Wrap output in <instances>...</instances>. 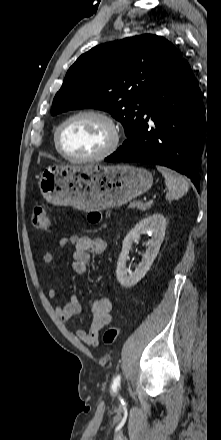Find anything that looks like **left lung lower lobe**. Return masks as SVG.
<instances>
[{
    "label": "left lung lower lobe",
    "instance_id": "1",
    "mask_svg": "<svg viewBox=\"0 0 221 440\" xmlns=\"http://www.w3.org/2000/svg\"><path fill=\"white\" fill-rule=\"evenodd\" d=\"M149 118L154 123L151 129ZM205 125L197 80L188 62L181 59L148 101L131 138L105 160L167 166L190 178L199 191Z\"/></svg>",
    "mask_w": 221,
    "mask_h": 440
}]
</instances>
